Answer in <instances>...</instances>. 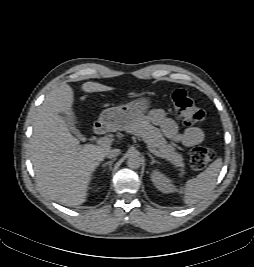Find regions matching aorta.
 Returning <instances> with one entry per match:
<instances>
[{
	"instance_id": "1",
	"label": "aorta",
	"mask_w": 254,
	"mask_h": 267,
	"mask_svg": "<svg viewBox=\"0 0 254 267\" xmlns=\"http://www.w3.org/2000/svg\"><path fill=\"white\" fill-rule=\"evenodd\" d=\"M142 164V159L138 153H131L127 159V166L131 169H138Z\"/></svg>"
}]
</instances>
